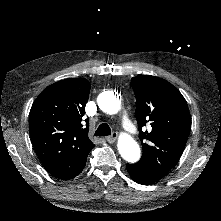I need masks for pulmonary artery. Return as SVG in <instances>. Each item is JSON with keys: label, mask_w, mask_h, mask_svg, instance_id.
Masks as SVG:
<instances>
[{"label": "pulmonary artery", "mask_w": 221, "mask_h": 221, "mask_svg": "<svg viewBox=\"0 0 221 221\" xmlns=\"http://www.w3.org/2000/svg\"><path fill=\"white\" fill-rule=\"evenodd\" d=\"M119 119H120L119 121L124 132H127L128 134L133 135V136L139 134V131H140L139 127L132 124L131 119L128 114H125V113L121 114Z\"/></svg>", "instance_id": "1"}]
</instances>
